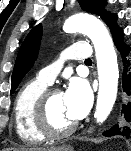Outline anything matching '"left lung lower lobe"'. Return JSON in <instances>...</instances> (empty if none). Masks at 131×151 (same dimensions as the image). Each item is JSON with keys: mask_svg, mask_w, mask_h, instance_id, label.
I'll return each instance as SVG.
<instances>
[{"mask_svg": "<svg viewBox=\"0 0 131 151\" xmlns=\"http://www.w3.org/2000/svg\"><path fill=\"white\" fill-rule=\"evenodd\" d=\"M123 32L113 36V41L118 51L120 52L121 59L123 62V73H122V88L126 95L125 103L122 105V110L110 129L103 132L104 136H115L120 135L126 138L130 137L131 134V62H130V47L124 42Z\"/></svg>", "mask_w": 131, "mask_h": 151, "instance_id": "left-lung-lower-lobe-1", "label": "left lung lower lobe"}]
</instances>
